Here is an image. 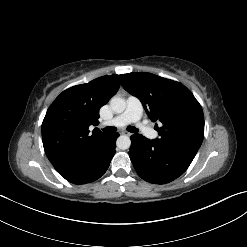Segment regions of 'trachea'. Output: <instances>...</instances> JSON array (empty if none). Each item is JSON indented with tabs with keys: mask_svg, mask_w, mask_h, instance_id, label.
Segmentation results:
<instances>
[{
	"mask_svg": "<svg viewBox=\"0 0 247 247\" xmlns=\"http://www.w3.org/2000/svg\"><path fill=\"white\" fill-rule=\"evenodd\" d=\"M116 130H117L116 127H105V128L103 129V131L106 132V133H113V132H115ZM127 130H128L129 132H132V133H137V132H138V129L135 128V127H132V126H128V127H127Z\"/></svg>",
	"mask_w": 247,
	"mask_h": 247,
	"instance_id": "trachea-1",
	"label": "trachea"
}]
</instances>
